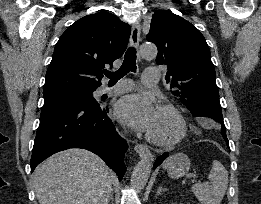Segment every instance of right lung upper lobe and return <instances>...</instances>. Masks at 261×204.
<instances>
[{
	"mask_svg": "<svg viewBox=\"0 0 261 204\" xmlns=\"http://www.w3.org/2000/svg\"><path fill=\"white\" fill-rule=\"evenodd\" d=\"M129 37V25L109 12L79 19L55 46L43 94L96 90L103 68L123 55Z\"/></svg>",
	"mask_w": 261,
	"mask_h": 204,
	"instance_id": "right-lung-upper-lobe-1",
	"label": "right lung upper lobe"
}]
</instances>
